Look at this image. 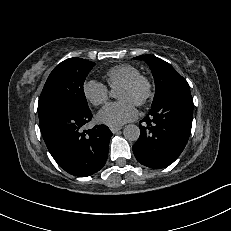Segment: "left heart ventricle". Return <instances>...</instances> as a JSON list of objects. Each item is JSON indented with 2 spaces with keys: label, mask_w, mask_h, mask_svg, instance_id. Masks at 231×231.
<instances>
[{
  "label": "left heart ventricle",
  "mask_w": 231,
  "mask_h": 231,
  "mask_svg": "<svg viewBox=\"0 0 231 231\" xmlns=\"http://www.w3.org/2000/svg\"><path fill=\"white\" fill-rule=\"evenodd\" d=\"M143 93V88H126L120 87L117 93V98L120 100L127 99L136 104L138 99L141 97Z\"/></svg>",
  "instance_id": "b2bd125f"
}]
</instances>
